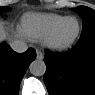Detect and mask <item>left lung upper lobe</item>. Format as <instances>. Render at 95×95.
Segmentation results:
<instances>
[{"label": "left lung upper lobe", "instance_id": "left-lung-upper-lobe-1", "mask_svg": "<svg viewBox=\"0 0 95 95\" xmlns=\"http://www.w3.org/2000/svg\"><path fill=\"white\" fill-rule=\"evenodd\" d=\"M78 13L83 20V29L81 36L95 32V11L86 6L77 7Z\"/></svg>", "mask_w": 95, "mask_h": 95}]
</instances>
